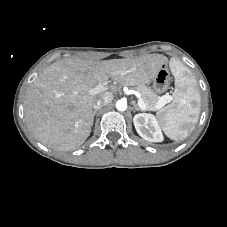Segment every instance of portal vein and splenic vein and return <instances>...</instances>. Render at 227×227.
I'll list each match as a JSON object with an SVG mask.
<instances>
[{
	"label": "portal vein and splenic vein",
	"instance_id": "portal-vein-and-splenic-vein-1",
	"mask_svg": "<svg viewBox=\"0 0 227 227\" xmlns=\"http://www.w3.org/2000/svg\"><path fill=\"white\" fill-rule=\"evenodd\" d=\"M105 88H106V87H105L103 84H98V85H96L94 88L90 89V90H89V93H90L91 95H95V94H98V93L104 91ZM137 98H138V105H139V107H140L141 109H143V110H146V105H145L144 101L142 100L140 94L137 95ZM170 100H171V96H169V95L163 96V97L159 100V102L157 103V107H158V108L163 107V106H164L167 102H169Z\"/></svg>",
	"mask_w": 227,
	"mask_h": 227
}]
</instances>
